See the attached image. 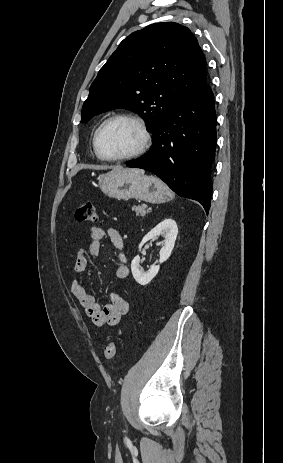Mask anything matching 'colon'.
<instances>
[{
  "label": "colon",
  "mask_w": 283,
  "mask_h": 463,
  "mask_svg": "<svg viewBox=\"0 0 283 463\" xmlns=\"http://www.w3.org/2000/svg\"><path fill=\"white\" fill-rule=\"evenodd\" d=\"M75 217L80 222H95L98 218L96 206L91 202L83 203L76 210ZM116 343L110 342L104 349V357L112 360L116 355Z\"/></svg>",
  "instance_id": "5ec220e1"
}]
</instances>
